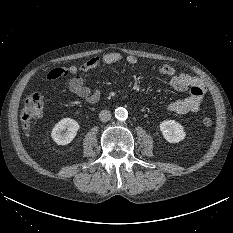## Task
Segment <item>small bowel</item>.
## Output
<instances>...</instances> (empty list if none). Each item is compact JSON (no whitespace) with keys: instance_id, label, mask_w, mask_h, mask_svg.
I'll return each instance as SVG.
<instances>
[{"instance_id":"c3829d8e","label":"small bowel","mask_w":233,"mask_h":233,"mask_svg":"<svg viewBox=\"0 0 233 233\" xmlns=\"http://www.w3.org/2000/svg\"><path fill=\"white\" fill-rule=\"evenodd\" d=\"M125 59L129 64H136L138 59L134 55H127L125 58L116 52L106 53L102 56H95L87 60L80 69L76 66L67 68H56L47 75V80L53 81L64 74L72 76L69 82V89L75 95L83 98L89 104L99 101L101 94L97 89L90 88L84 84V80L78 75L79 70L89 72L99 69L105 65H111ZM160 75L170 79L172 87L178 91H189V96L174 100L163 106V109L176 114L196 113L200 110L204 94L206 92L205 83L198 77L185 73H177L176 69L170 65H163L157 69Z\"/></svg>"}]
</instances>
